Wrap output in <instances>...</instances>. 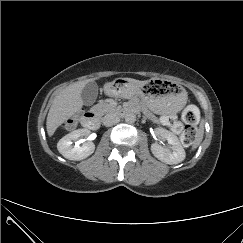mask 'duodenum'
I'll return each instance as SVG.
<instances>
[{
  "label": "duodenum",
  "instance_id": "410a0bca",
  "mask_svg": "<svg viewBox=\"0 0 243 243\" xmlns=\"http://www.w3.org/2000/svg\"><path fill=\"white\" fill-rule=\"evenodd\" d=\"M132 111L131 107H124L116 110V114L118 116H125L126 114L130 113ZM82 124L84 127L95 130L99 127V119L94 111H87L83 118H82Z\"/></svg>",
  "mask_w": 243,
  "mask_h": 243
}]
</instances>
